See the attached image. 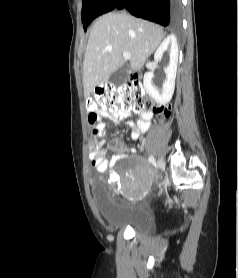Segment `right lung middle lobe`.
Listing matches in <instances>:
<instances>
[{
	"mask_svg": "<svg viewBox=\"0 0 238 278\" xmlns=\"http://www.w3.org/2000/svg\"><path fill=\"white\" fill-rule=\"evenodd\" d=\"M102 0H83L82 6V22L83 28L86 31L88 24L92 20V15L95 8L100 4Z\"/></svg>",
	"mask_w": 238,
	"mask_h": 278,
	"instance_id": "1",
	"label": "right lung middle lobe"
}]
</instances>
